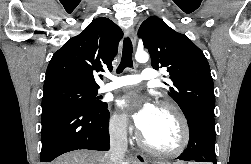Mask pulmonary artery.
<instances>
[{
	"label": "pulmonary artery",
	"mask_w": 251,
	"mask_h": 164,
	"mask_svg": "<svg viewBox=\"0 0 251 164\" xmlns=\"http://www.w3.org/2000/svg\"><path fill=\"white\" fill-rule=\"evenodd\" d=\"M157 78V72L151 68H145L140 74L124 75L113 78L111 82L104 84L100 92H109L124 86L138 84L142 81H154Z\"/></svg>",
	"instance_id": "1"
}]
</instances>
